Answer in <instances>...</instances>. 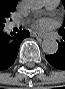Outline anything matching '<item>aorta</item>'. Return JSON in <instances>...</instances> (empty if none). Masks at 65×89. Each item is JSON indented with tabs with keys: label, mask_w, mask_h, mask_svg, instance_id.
Listing matches in <instances>:
<instances>
[{
	"label": "aorta",
	"mask_w": 65,
	"mask_h": 89,
	"mask_svg": "<svg viewBox=\"0 0 65 89\" xmlns=\"http://www.w3.org/2000/svg\"><path fill=\"white\" fill-rule=\"evenodd\" d=\"M28 8L32 11L40 10L43 7L42 0H29L27 4ZM42 50L48 55L55 54L58 50V43L54 38H46L42 42Z\"/></svg>",
	"instance_id": "762f6f07"
}]
</instances>
